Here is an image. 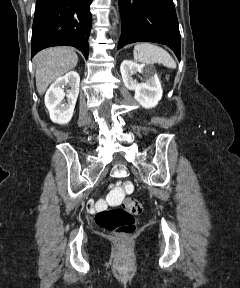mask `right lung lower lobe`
<instances>
[{
	"label": "right lung lower lobe",
	"instance_id": "1",
	"mask_svg": "<svg viewBox=\"0 0 240 288\" xmlns=\"http://www.w3.org/2000/svg\"><path fill=\"white\" fill-rule=\"evenodd\" d=\"M92 0H36L32 30V57L59 45L74 46L87 59Z\"/></svg>",
	"mask_w": 240,
	"mask_h": 288
}]
</instances>
